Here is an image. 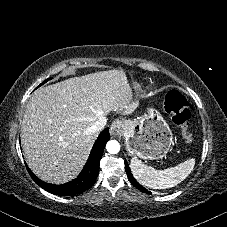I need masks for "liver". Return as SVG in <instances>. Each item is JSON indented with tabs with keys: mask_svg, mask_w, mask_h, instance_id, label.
Returning <instances> with one entry per match:
<instances>
[{
	"mask_svg": "<svg viewBox=\"0 0 227 227\" xmlns=\"http://www.w3.org/2000/svg\"><path fill=\"white\" fill-rule=\"evenodd\" d=\"M123 70H108L41 87L30 98L21 122L28 166L43 181L64 184L85 165L98 131L93 124L111 112L137 107Z\"/></svg>",
	"mask_w": 227,
	"mask_h": 227,
	"instance_id": "1",
	"label": "liver"
}]
</instances>
